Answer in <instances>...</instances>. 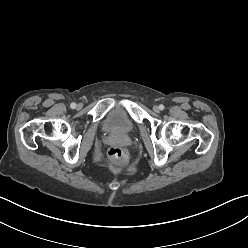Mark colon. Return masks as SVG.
<instances>
[{
  "mask_svg": "<svg viewBox=\"0 0 248 248\" xmlns=\"http://www.w3.org/2000/svg\"><path fill=\"white\" fill-rule=\"evenodd\" d=\"M108 159L112 167H120L126 162L127 153L119 146H112L108 150Z\"/></svg>",
  "mask_w": 248,
  "mask_h": 248,
  "instance_id": "5ec220e1",
  "label": "colon"
}]
</instances>
